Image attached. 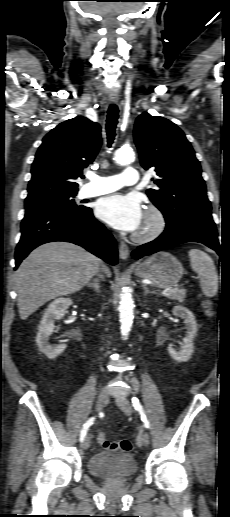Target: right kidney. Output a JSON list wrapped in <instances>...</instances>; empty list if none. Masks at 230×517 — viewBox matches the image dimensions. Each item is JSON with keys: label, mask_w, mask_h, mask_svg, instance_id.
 I'll return each mask as SVG.
<instances>
[{"label": "right kidney", "mask_w": 230, "mask_h": 517, "mask_svg": "<svg viewBox=\"0 0 230 517\" xmlns=\"http://www.w3.org/2000/svg\"><path fill=\"white\" fill-rule=\"evenodd\" d=\"M72 305L70 298H58L51 302L46 309L40 325L38 326V333L36 336V343L39 350L45 354L49 359H54L60 355L66 348L65 344L52 346L49 343V336L55 328V321L61 319L69 306Z\"/></svg>", "instance_id": "right-kidney-1"}]
</instances>
